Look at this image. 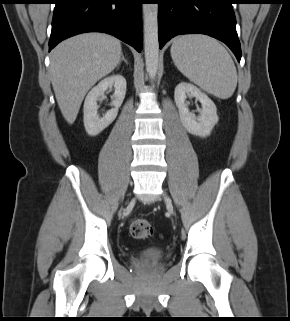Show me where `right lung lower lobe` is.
<instances>
[{"label":"right lung lower lobe","instance_id":"obj_1","mask_svg":"<svg viewBox=\"0 0 290 321\" xmlns=\"http://www.w3.org/2000/svg\"><path fill=\"white\" fill-rule=\"evenodd\" d=\"M143 0H55L49 51L84 32L114 35L141 51L140 4Z\"/></svg>","mask_w":290,"mask_h":321}]
</instances>
